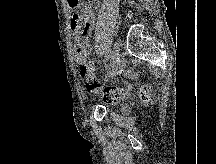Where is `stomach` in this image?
I'll list each match as a JSON object with an SVG mask.
<instances>
[{
    "label": "stomach",
    "mask_w": 216,
    "mask_h": 164,
    "mask_svg": "<svg viewBox=\"0 0 216 164\" xmlns=\"http://www.w3.org/2000/svg\"><path fill=\"white\" fill-rule=\"evenodd\" d=\"M83 0H67V4L70 8L76 9L82 5Z\"/></svg>",
    "instance_id": "stomach-1"
}]
</instances>
